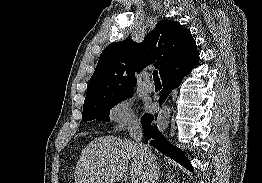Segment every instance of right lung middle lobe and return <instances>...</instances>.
<instances>
[{"label": "right lung middle lobe", "instance_id": "dd1d6c3e", "mask_svg": "<svg viewBox=\"0 0 262 183\" xmlns=\"http://www.w3.org/2000/svg\"><path fill=\"white\" fill-rule=\"evenodd\" d=\"M132 94H133V90H130L118 95L85 103L83 108L82 119L84 121H90V120L109 121L110 109L114 105L118 104L119 102L127 98H130Z\"/></svg>", "mask_w": 262, "mask_h": 183}]
</instances>
